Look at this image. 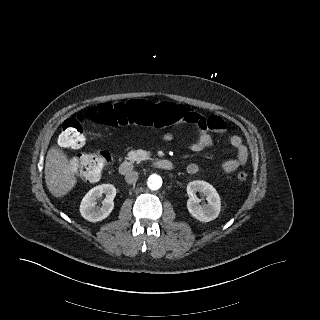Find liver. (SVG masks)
I'll return each instance as SVG.
<instances>
[{
    "label": "liver",
    "mask_w": 320,
    "mask_h": 320,
    "mask_svg": "<svg viewBox=\"0 0 320 320\" xmlns=\"http://www.w3.org/2000/svg\"><path fill=\"white\" fill-rule=\"evenodd\" d=\"M45 182L54 197H63L77 183L67 156L57 148H50L45 162Z\"/></svg>",
    "instance_id": "6515ba94"
}]
</instances>
